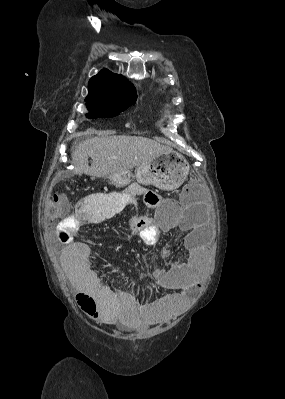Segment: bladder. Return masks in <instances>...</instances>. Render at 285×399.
<instances>
[{
    "instance_id": "31cf9c89",
    "label": "bladder",
    "mask_w": 285,
    "mask_h": 399,
    "mask_svg": "<svg viewBox=\"0 0 285 399\" xmlns=\"http://www.w3.org/2000/svg\"><path fill=\"white\" fill-rule=\"evenodd\" d=\"M120 326L122 327V329L124 330H129V329H133L134 327L128 323L125 322H120Z\"/></svg>"
}]
</instances>
